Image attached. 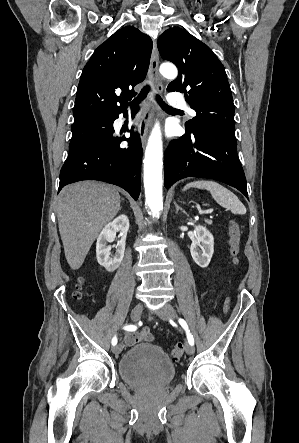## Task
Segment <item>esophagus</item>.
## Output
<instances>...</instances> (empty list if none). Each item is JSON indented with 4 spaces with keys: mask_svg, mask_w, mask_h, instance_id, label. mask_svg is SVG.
Masks as SVG:
<instances>
[{
    "mask_svg": "<svg viewBox=\"0 0 299 443\" xmlns=\"http://www.w3.org/2000/svg\"><path fill=\"white\" fill-rule=\"evenodd\" d=\"M158 65H159V52L156 41H153V49H152L150 67H149V79L152 85L154 86L155 90L158 93H162L163 85L159 78ZM156 108L157 105L155 103V100L152 94L149 93L143 108L142 118L139 124V135L143 146L146 143L147 134L152 122L153 112Z\"/></svg>",
    "mask_w": 299,
    "mask_h": 443,
    "instance_id": "1",
    "label": "esophagus"
}]
</instances>
